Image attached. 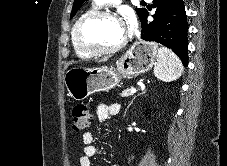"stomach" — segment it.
<instances>
[{"instance_id": "1", "label": "stomach", "mask_w": 227, "mask_h": 166, "mask_svg": "<svg viewBox=\"0 0 227 166\" xmlns=\"http://www.w3.org/2000/svg\"><path fill=\"white\" fill-rule=\"evenodd\" d=\"M158 46L151 42H136L117 61L116 68L72 67L64 76L68 94L77 101L89 95L108 91L118 85L120 78L135 77L149 71L156 64Z\"/></svg>"}]
</instances>
